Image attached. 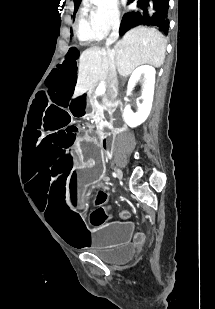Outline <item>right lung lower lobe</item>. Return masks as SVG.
Returning <instances> with one entry per match:
<instances>
[{
  "instance_id": "98d812e1",
  "label": "right lung lower lobe",
  "mask_w": 215,
  "mask_h": 309,
  "mask_svg": "<svg viewBox=\"0 0 215 309\" xmlns=\"http://www.w3.org/2000/svg\"><path fill=\"white\" fill-rule=\"evenodd\" d=\"M168 1L169 0H138V10L129 12L123 16L120 33L124 34L129 29L143 24L158 27V29L167 34L169 28Z\"/></svg>"
}]
</instances>
